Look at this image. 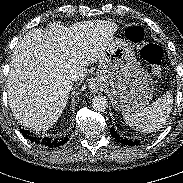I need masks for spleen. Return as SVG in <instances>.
I'll list each match as a JSON object with an SVG mask.
<instances>
[{
	"mask_svg": "<svg viewBox=\"0 0 183 183\" xmlns=\"http://www.w3.org/2000/svg\"><path fill=\"white\" fill-rule=\"evenodd\" d=\"M173 106L171 92H165L155 102L146 108L131 112H123V118L127 125L143 133H150L161 129L167 122Z\"/></svg>",
	"mask_w": 183,
	"mask_h": 183,
	"instance_id": "3e777b00",
	"label": "spleen"
}]
</instances>
